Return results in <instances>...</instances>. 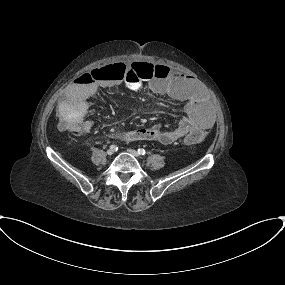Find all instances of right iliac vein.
Wrapping results in <instances>:
<instances>
[{
    "instance_id": "obj_1",
    "label": "right iliac vein",
    "mask_w": 285,
    "mask_h": 285,
    "mask_svg": "<svg viewBox=\"0 0 285 285\" xmlns=\"http://www.w3.org/2000/svg\"><path fill=\"white\" fill-rule=\"evenodd\" d=\"M113 153H114V151L112 149L107 150L108 155H112Z\"/></svg>"
}]
</instances>
